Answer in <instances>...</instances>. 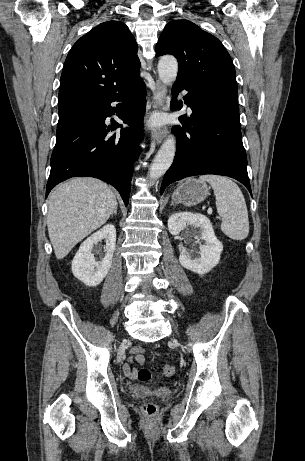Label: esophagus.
Here are the masks:
<instances>
[{
    "mask_svg": "<svg viewBox=\"0 0 305 461\" xmlns=\"http://www.w3.org/2000/svg\"><path fill=\"white\" fill-rule=\"evenodd\" d=\"M153 108L155 110H160V109L167 110L168 109L166 87L160 80H156V83H155ZM167 132L168 131L166 127L153 129L151 132V138L157 144H160L166 137Z\"/></svg>",
    "mask_w": 305,
    "mask_h": 461,
    "instance_id": "esophagus-1",
    "label": "esophagus"
}]
</instances>
